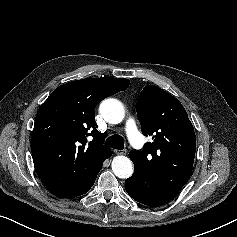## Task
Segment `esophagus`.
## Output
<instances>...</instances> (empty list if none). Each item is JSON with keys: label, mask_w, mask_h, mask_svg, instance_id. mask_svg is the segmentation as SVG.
<instances>
[{"label": "esophagus", "mask_w": 237, "mask_h": 237, "mask_svg": "<svg viewBox=\"0 0 237 237\" xmlns=\"http://www.w3.org/2000/svg\"><path fill=\"white\" fill-rule=\"evenodd\" d=\"M115 153H117L119 155H126L127 154V149L115 150Z\"/></svg>", "instance_id": "34e87169"}]
</instances>
